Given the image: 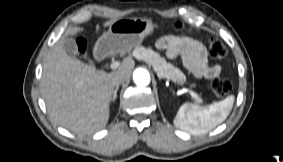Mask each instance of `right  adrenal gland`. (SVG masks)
Returning a JSON list of instances; mask_svg holds the SVG:
<instances>
[{"label": "right adrenal gland", "mask_w": 283, "mask_h": 162, "mask_svg": "<svg viewBox=\"0 0 283 162\" xmlns=\"http://www.w3.org/2000/svg\"><path fill=\"white\" fill-rule=\"evenodd\" d=\"M119 86H117L114 90V95H113V101L117 98V92H118Z\"/></svg>", "instance_id": "obj_1"}]
</instances>
